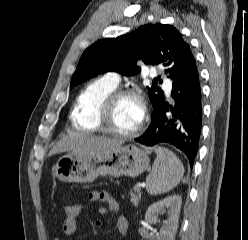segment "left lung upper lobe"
<instances>
[{"label": "left lung upper lobe", "instance_id": "left-lung-upper-lobe-1", "mask_svg": "<svg viewBox=\"0 0 248 240\" xmlns=\"http://www.w3.org/2000/svg\"><path fill=\"white\" fill-rule=\"evenodd\" d=\"M146 64H162L165 73L176 83L196 66L195 57L182 34L172 25L147 24L136 31L96 41L82 54L70 88L98 74L114 71L131 76L139 72L136 60ZM162 83V81H160ZM154 111L164 103L159 88H148Z\"/></svg>", "mask_w": 248, "mask_h": 240}]
</instances>
